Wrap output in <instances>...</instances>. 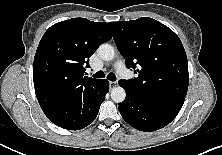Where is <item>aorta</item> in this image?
<instances>
[{
    "label": "aorta",
    "mask_w": 222,
    "mask_h": 155,
    "mask_svg": "<svg viewBox=\"0 0 222 155\" xmlns=\"http://www.w3.org/2000/svg\"><path fill=\"white\" fill-rule=\"evenodd\" d=\"M98 54L101 59L110 61L114 58L115 51L112 45L104 43L98 48ZM125 97L126 93L122 87L116 86L111 90V98L114 102L121 103L125 100Z\"/></svg>",
    "instance_id": "aorta-1"
}]
</instances>
